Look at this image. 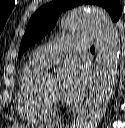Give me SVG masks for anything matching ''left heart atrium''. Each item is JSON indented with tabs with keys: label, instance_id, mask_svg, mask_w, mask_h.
<instances>
[{
	"label": "left heart atrium",
	"instance_id": "left-heart-atrium-1",
	"mask_svg": "<svg viewBox=\"0 0 125 128\" xmlns=\"http://www.w3.org/2000/svg\"><path fill=\"white\" fill-rule=\"evenodd\" d=\"M91 83L87 67L78 62H69L61 70L58 80V97L65 103L79 101Z\"/></svg>",
	"mask_w": 125,
	"mask_h": 128
}]
</instances>
